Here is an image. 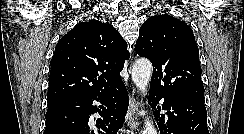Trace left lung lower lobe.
<instances>
[{"label": "left lung lower lobe", "instance_id": "obj_1", "mask_svg": "<svg viewBox=\"0 0 244 134\" xmlns=\"http://www.w3.org/2000/svg\"><path fill=\"white\" fill-rule=\"evenodd\" d=\"M150 102L157 105L163 98L162 109L165 115H158L160 133L164 134H209L207 111L204 102L194 99L164 94L151 87ZM161 110V108H158Z\"/></svg>", "mask_w": 244, "mask_h": 134}]
</instances>
